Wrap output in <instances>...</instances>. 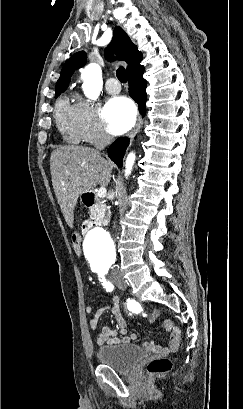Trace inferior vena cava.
<instances>
[{
  "instance_id": "602c4592",
  "label": "inferior vena cava",
  "mask_w": 243,
  "mask_h": 409,
  "mask_svg": "<svg viewBox=\"0 0 243 409\" xmlns=\"http://www.w3.org/2000/svg\"><path fill=\"white\" fill-rule=\"evenodd\" d=\"M111 142V136L106 133H101L95 140L97 150H103Z\"/></svg>"
}]
</instances>
